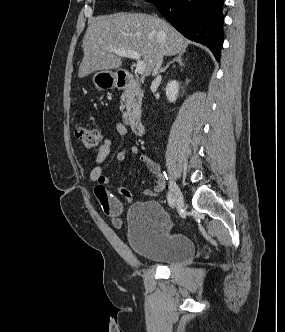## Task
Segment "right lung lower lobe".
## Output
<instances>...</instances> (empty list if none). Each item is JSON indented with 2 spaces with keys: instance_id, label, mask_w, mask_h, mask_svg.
<instances>
[{
  "instance_id": "1",
  "label": "right lung lower lobe",
  "mask_w": 285,
  "mask_h": 332,
  "mask_svg": "<svg viewBox=\"0 0 285 332\" xmlns=\"http://www.w3.org/2000/svg\"><path fill=\"white\" fill-rule=\"evenodd\" d=\"M158 11L186 38L209 47L220 59L223 0H153Z\"/></svg>"
}]
</instances>
